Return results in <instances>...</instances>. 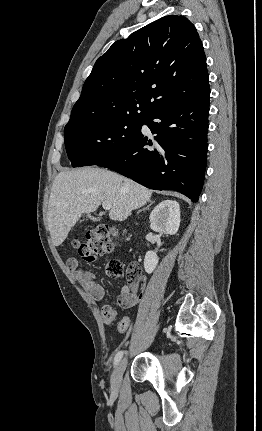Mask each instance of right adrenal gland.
Segmentation results:
<instances>
[{"mask_svg": "<svg viewBox=\"0 0 262 431\" xmlns=\"http://www.w3.org/2000/svg\"><path fill=\"white\" fill-rule=\"evenodd\" d=\"M153 203H154V201H150L149 205L146 206L145 208L139 210L138 213L141 212L142 210H145V209L149 208Z\"/></svg>", "mask_w": 262, "mask_h": 431, "instance_id": "1", "label": "right adrenal gland"}]
</instances>
